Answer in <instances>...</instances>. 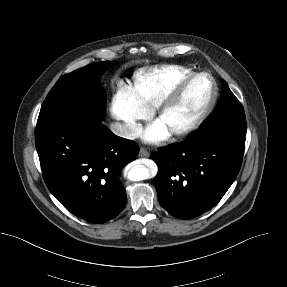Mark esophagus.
<instances>
[{"label":"esophagus","instance_id":"34e87169","mask_svg":"<svg viewBox=\"0 0 287 287\" xmlns=\"http://www.w3.org/2000/svg\"><path fill=\"white\" fill-rule=\"evenodd\" d=\"M149 152L146 150V149H144V148H140V150H139V156L140 157H149Z\"/></svg>","mask_w":287,"mask_h":287}]
</instances>
